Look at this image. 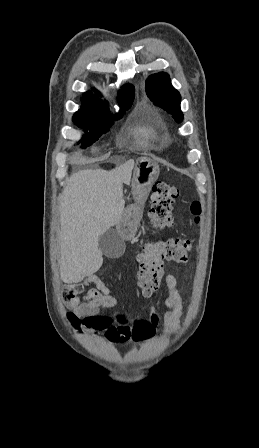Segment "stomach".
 <instances>
[{
  "instance_id": "stomach-1",
  "label": "stomach",
  "mask_w": 259,
  "mask_h": 448,
  "mask_svg": "<svg viewBox=\"0 0 259 448\" xmlns=\"http://www.w3.org/2000/svg\"><path fill=\"white\" fill-rule=\"evenodd\" d=\"M159 176V166L151 158H139L137 170L132 182V194L137 202L146 200L150 188ZM143 206H124L122 218L117 224V232L124 240H132L136 234L139 221L143 220Z\"/></svg>"
}]
</instances>
